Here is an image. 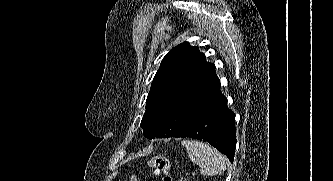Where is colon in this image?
I'll list each match as a JSON object with an SVG mask.
<instances>
[{"instance_id":"5ec220e1","label":"colon","mask_w":333,"mask_h":181,"mask_svg":"<svg viewBox=\"0 0 333 181\" xmlns=\"http://www.w3.org/2000/svg\"><path fill=\"white\" fill-rule=\"evenodd\" d=\"M146 166L149 169L154 170L155 172L163 175V181H171V166L172 162L171 159L164 155H156L150 157L147 162ZM129 181H138L137 177L132 175Z\"/></svg>"}]
</instances>
